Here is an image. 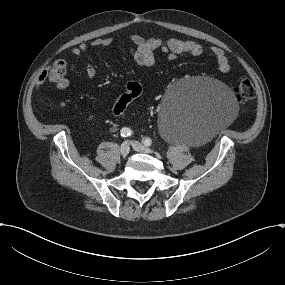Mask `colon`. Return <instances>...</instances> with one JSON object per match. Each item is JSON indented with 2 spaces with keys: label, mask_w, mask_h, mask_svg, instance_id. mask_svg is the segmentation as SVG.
I'll use <instances>...</instances> for the list:
<instances>
[{
  "label": "colon",
  "mask_w": 285,
  "mask_h": 285,
  "mask_svg": "<svg viewBox=\"0 0 285 285\" xmlns=\"http://www.w3.org/2000/svg\"><path fill=\"white\" fill-rule=\"evenodd\" d=\"M65 72L63 61H57L52 66L49 72V78L52 81H58L62 78ZM142 86L140 83L131 81L125 85L124 93L117 99L113 106V114L118 116L124 113L128 105L140 96ZM255 97V88L251 81L243 79L236 88V98L241 104L251 101Z\"/></svg>",
  "instance_id": "5ec220e1"
}]
</instances>
